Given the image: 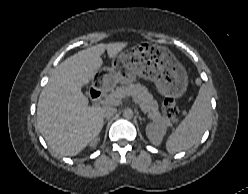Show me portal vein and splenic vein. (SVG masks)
I'll list each match as a JSON object with an SVG mask.
<instances>
[{
  "label": "portal vein and splenic vein",
  "mask_w": 248,
  "mask_h": 194,
  "mask_svg": "<svg viewBox=\"0 0 248 194\" xmlns=\"http://www.w3.org/2000/svg\"><path fill=\"white\" fill-rule=\"evenodd\" d=\"M112 100H114V98L113 97H110V98H107L105 101H103L102 103H108L109 101H112ZM135 101V100H134Z\"/></svg>",
  "instance_id": "portal-vein-and-splenic-vein-1"
}]
</instances>
